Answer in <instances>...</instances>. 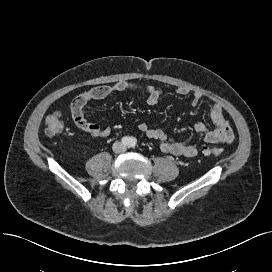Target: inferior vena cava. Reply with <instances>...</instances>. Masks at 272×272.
<instances>
[{"mask_svg":"<svg viewBox=\"0 0 272 272\" xmlns=\"http://www.w3.org/2000/svg\"><path fill=\"white\" fill-rule=\"evenodd\" d=\"M112 148L115 153H122L126 150V146L118 141L113 144Z\"/></svg>","mask_w":272,"mask_h":272,"instance_id":"602c4592","label":"inferior vena cava"}]
</instances>
